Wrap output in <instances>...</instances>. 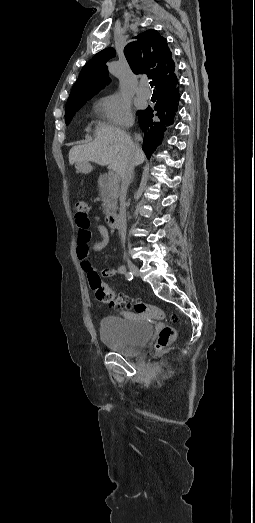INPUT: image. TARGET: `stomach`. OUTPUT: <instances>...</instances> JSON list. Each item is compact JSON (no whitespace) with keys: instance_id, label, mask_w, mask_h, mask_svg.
<instances>
[{"instance_id":"obj_1","label":"stomach","mask_w":255,"mask_h":523,"mask_svg":"<svg viewBox=\"0 0 255 523\" xmlns=\"http://www.w3.org/2000/svg\"><path fill=\"white\" fill-rule=\"evenodd\" d=\"M79 173L81 176H90L92 173V168L90 165H81L79 168Z\"/></svg>"}]
</instances>
